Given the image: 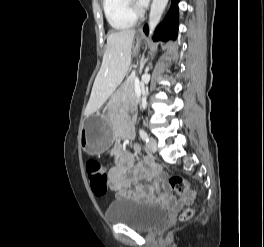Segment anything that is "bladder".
<instances>
[{
	"label": "bladder",
	"mask_w": 264,
	"mask_h": 247,
	"mask_svg": "<svg viewBox=\"0 0 264 247\" xmlns=\"http://www.w3.org/2000/svg\"><path fill=\"white\" fill-rule=\"evenodd\" d=\"M109 223L124 224L139 231H152L168 219L166 210L158 205L129 198L111 202L106 211Z\"/></svg>",
	"instance_id": "31cf9c89"
}]
</instances>
